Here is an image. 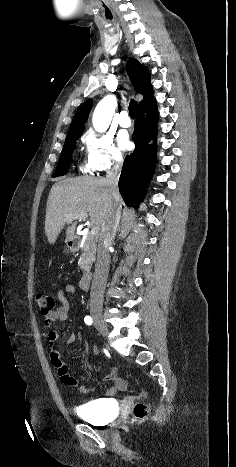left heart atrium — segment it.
<instances>
[{"label":"left heart atrium","mask_w":236,"mask_h":467,"mask_svg":"<svg viewBox=\"0 0 236 467\" xmlns=\"http://www.w3.org/2000/svg\"><path fill=\"white\" fill-rule=\"evenodd\" d=\"M118 142L122 149H128L131 145L129 136L126 132L122 131L118 134Z\"/></svg>","instance_id":"left-heart-atrium-1"}]
</instances>
